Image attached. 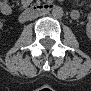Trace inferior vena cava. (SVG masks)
I'll list each match as a JSON object with an SVG mask.
<instances>
[{"label":"inferior vena cava","mask_w":91,"mask_h":91,"mask_svg":"<svg viewBox=\"0 0 91 91\" xmlns=\"http://www.w3.org/2000/svg\"><path fill=\"white\" fill-rule=\"evenodd\" d=\"M44 14H46V12H34L32 13V18L44 17Z\"/></svg>","instance_id":"602c4592"}]
</instances>
